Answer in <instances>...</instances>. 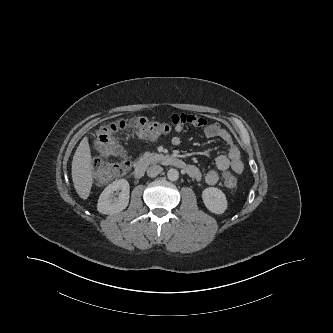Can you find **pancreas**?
Instances as JSON below:
<instances>
[{"label":"pancreas","instance_id":"obj_1","mask_svg":"<svg viewBox=\"0 0 333 333\" xmlns=\"http://www.w3.org/2000/svg\"><path fill=\"white\" fill-rule=\"evenodd\" d=\"M160 157H162V155L158 153L145 152L143 154V158L148 160H157Z\"/></svg>","mask_w":333,"mask_h":333}]
</instances>
